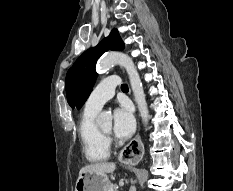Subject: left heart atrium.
<instances>
[{
    "instance_id": "left-heart-atrium-1",
    "label": "left heart atrium",
    "mask_w": 233,
    "mask_h": 191,
    "mask_svg": "<svg viewBox=\"0 0 233 191\" xmlns=\"http://www.w3.org/2000/svg\"><path fill=\"white\" fill-rule=\"evenodd\" d=\"M135 130V118L131 107L122 104L113 113V132L117 138L126 139Z\"/></svg>"
}]
</instances>
